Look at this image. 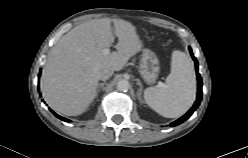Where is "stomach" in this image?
<instances>
[{
  "label": "stomach",
  "instance_id": "obj_1",
  "mask_svg": "<svg viewBox=\"0 0 248 158\" xmlns=\"http://www.w3.org/2000/svg\"><path fill=\"white\" fill-rule=\"evenodd\" d=\"M160 71L159 60L154 52L144 49L139 66V72L143 80L148 84L156 82Z\"/></svg>",
  "mask_w": 248,
  "mask_h": 158
}]
</instances>
